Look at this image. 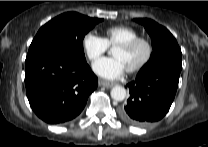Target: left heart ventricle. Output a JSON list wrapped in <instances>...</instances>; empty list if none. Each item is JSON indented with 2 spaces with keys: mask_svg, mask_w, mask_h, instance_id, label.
Returning a JSON list of instances; mask_svg holds the SVG:
<instances>
[{
  "mask_svg": "<svg viewBox=\"0 0 208 147\" xmlns=\"http://www.w3.org/2000/svg\"><path fill=\"white\" fill-rule=\"evenodd\" d=\"M145 54L146 47L143 44H139L129 50L120 47H115L113 50L114 57L120 58L127 69L137 65L144 58Z\"/></svg>",
  "mask_w": 208,
  "mask_h": 147,
  "instance_id": "1",
  "label": "left heart ventricle"
}]
</instances>
